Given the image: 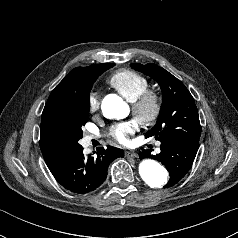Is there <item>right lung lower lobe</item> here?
<instances>
[{
	"mask_svg": "<svg viewBox=\"0 0 238 238\" xmlns=\"http://www.w3.org/2000/svg\"><path fill=\"white\" fill-rule=\"evenodd\" d=\"M123 156L122 149L109 146L107 149L101 148L96 157H85L80 145L61 160L48 165V168L65 189L86 194L97 190L103 184L109 164Z\"/></svg>",
	"mask_w": 238,
	"mask_h": 238,
	"instance_id": "98d812e1",
	"label": "right lung lower lobe"
}]
</instances>
